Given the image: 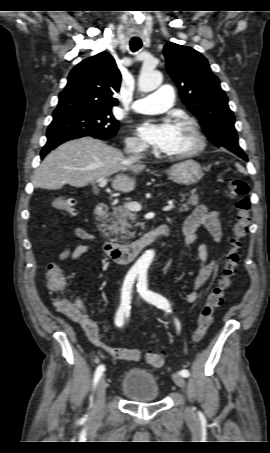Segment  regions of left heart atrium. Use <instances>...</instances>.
Wrapping results in <instances>:
<instances>
[{
    "mask_svg": "<svg viewBox=\"0 0 270 453\" xmlns=\"http://www.w3.org/2000/svg\"><path fill=\"white\" fill-rule=\"evenodd\" d=\"M175 130L176 124L169 120L147 121L140 126L139 134L147 143L164 150L170 145Z\"/></svg>",
    "mask_w": 270,
    "mask_h": 453,
    "instance_id": "1",
    "label": "left heart atrium"
}]
</instances>
